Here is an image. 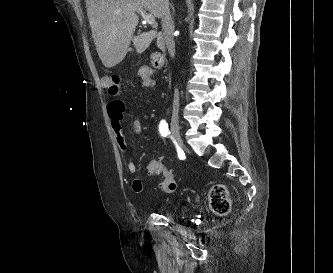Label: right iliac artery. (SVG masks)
Masks as SVG:
<instances>
[{
	"mask_svg": "<svg viewBox=\"0 0 333 273\" xmlns=\"http://www.w3.org/2000/svg\"><path fill=\"white\" fill-rule=\"evenodd\" d=\"M159 132L161 136L167 137L170 134L168 124L166 123L165 120H162L159 124Z\"/></svg>",
	"mask_w": 333,
	"mask_h": 273,
	"instance_id": "1",
	"label": "right iliac artery"
}]
</instances>
